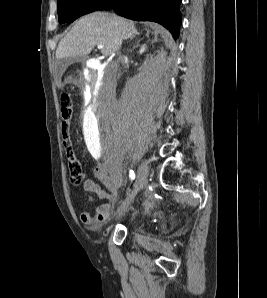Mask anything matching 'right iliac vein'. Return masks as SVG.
I'll return each instance as SVG.
<instances>
[{
	"label": "right iliac vein",
	"mask_w": 267,
	"mask_h": 298,
	"mask_svg": "<svg viewBox=\"0 0 267 298\" xmlns=\"http://www.w3.org/2000/svg\"><path fill=\"white\" fill-rule=\"evenodd\" d=\"M147 177H148V166H147V162L143 161L138 170L137 185L132 190V192L127 196V198L122 202V204L119 206L116 212V216H120L123 212L127 210L129 205L136 197L137 193L146 186Z\"/></svg>",
	"instance_id": "obj_1"
}]
</instances>
